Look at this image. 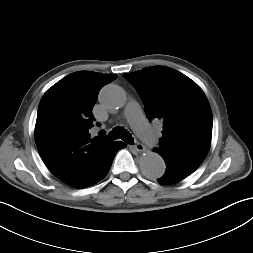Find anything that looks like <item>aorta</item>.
I'll list each match as a JSON object with an SVG mask.
<instances>
[{
	"instance_id": "762f6f07",
	"label": "aorta",
	"mask_w": 253,
	"mask_h": 253,
	"mask_svg": "<svg viewBox=\"0 0 253 253\" xmlns=\"http://www.w3.org/2000/svg\"><path fill=\"white\" fill-rule=\"evenodd\" d=\"M99 101L106 110L116 111L125 106L127 97L121 87L110 84L103 87L100 91ZM139 164L144 175L150 178H159L165 173V162L158 153H144L140 157Z\"/></svg>"
}]
</instances>
